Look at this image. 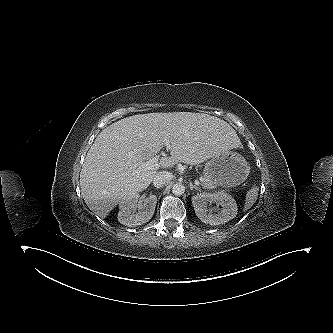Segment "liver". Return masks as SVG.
<instances>
[{
	"label": "liver",
	"mask_w": 333,
	"mask_h": 333,
	"mask_svg": "<svg viewBox=\"0 0 333 333\" xmlns=\"http://www.w3.org/2000/svg\"><path fill=\"white\" fill-rule=\"evenodd\" d=\"M166 140L171 156L160 159L161 168L179 162L201 164L241 147L227 122L203 113H148L121 119L100 132L82 166L80 188L89 209L105 218L125 197L147 189L158 171L137 168L155 157Z\"/></svg>",
	"instance_id": "liver-1"
}]
</instances>
